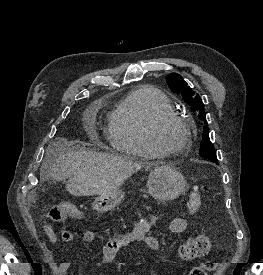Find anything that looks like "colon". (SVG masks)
<instances>
[{"label": "colon", "mask_w": 263, "mask_h": 275, "mask_svg": "<svg viewBox=\"0 0 263 275\" xmlns=\"http://www.w3.org/2000/svg\"><path fill=\"white\" fill-rule=\"evenodd\" d=\"M204 187L194 188L187 200L186 210L187 213L192 215L198 211L201 206V194ZM81 211L71 204H59L54 206L49 213V219L54 222H63L68 218H81ZM212 248L211 239L204 234L197 235L190 238L179 249V256L183 261H191L194 259L202 258L208 255ZM218 263L213 261H205L195 266L189 275H209L216 269Z\"/></svg>", "instance_id": "5ec220e1"}]
</instances>
